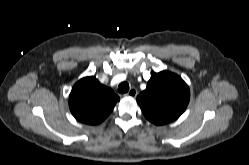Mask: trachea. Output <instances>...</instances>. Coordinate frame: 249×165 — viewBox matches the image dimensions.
I'll use <instances>...</instances> for the list:
<instances>
[{
	"label": "trachea",
	"instance_id": "1",
	"mask_svg": "<svg viewBox=\"0 0 249 165\" xmlns=\"http://www.w3.org/2000/svg\"><path fill=\"white\" fill-rule=\"evenodd\" d=\"M129 91V84L127 82H122L118 86V92L119 93H126Z\"/></svg>",
	"mask_w": 249,
	"mask_h": 165
}]
</instances>
